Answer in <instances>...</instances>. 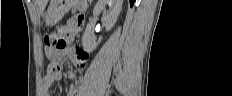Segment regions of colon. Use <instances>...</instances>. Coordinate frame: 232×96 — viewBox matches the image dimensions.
<instances>
[{"label":"colon","instance_id":"1","mask_svg":"<svg viewBox=\"0 0 232 96\" xmlns=\"http://www.w3.org/2000/svg\"><path fill=\"white\" fill-rule=\"evenodd\" d=\"M45 44L48 56L53 61L58 60L61 55V51L66 46L65 40L62 38L60 34V28L56 29L55 31L51 32L48 36H46ZM50 69L53 72H57L60 69V67L57 63H52L50 65Z\"/></svg>","mask_w":232,"mask_h":96}]
</instances>
